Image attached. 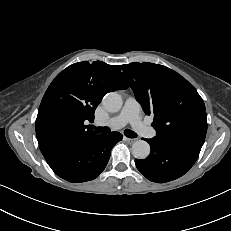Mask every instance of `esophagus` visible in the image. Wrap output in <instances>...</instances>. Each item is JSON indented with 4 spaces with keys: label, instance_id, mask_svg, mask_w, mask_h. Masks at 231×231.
<instances>
[{
    "label": "esophagus",
    "instance_id": "34e87169",
    "mask_svg": "<svg viewBox=\"0 0 231 231\" xmlns=\"http://www.w3.org/2000/svg\"><path fill=\"white\" fill-rule=\"evenodd\" d=\"M124 139L128 142V143H134L137 141L136 138H127V137H124Z\"/></svg>",
    "mask_w": 231,
    "mask_h": 231
}]
</instances>
